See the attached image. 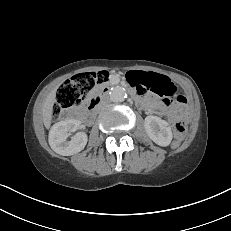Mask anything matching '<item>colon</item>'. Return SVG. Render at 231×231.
<instances>
[{
    "label": "colon",
    "mask_w": 231,
    "mask_h": 231,
    "mask_svg": "<svg viewBox=\"0 0 231 231\" xmlns=\"http://www.w3.org/2000/svg\"><path fill=\"white\" fill-rule=\"evenodd\" d=\"M131 77L134 81L140 79L139 75H132ZM108 79V72L99 71L81 73L67 80L58 90L56 100L52 107L53 117L58 118L66 109L80 105L91 90L106 83ZM131 85L136 89L138 88L134 82H132ZM174 131L176 140L173 146L177 147L186 132L185 121L182 119H175Z\"/></svg>",
    "instance_id": "5ec220e1"
}]
</instances>
